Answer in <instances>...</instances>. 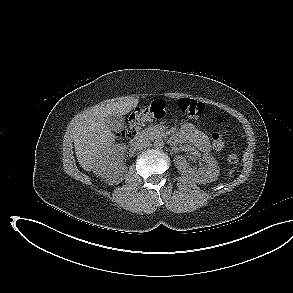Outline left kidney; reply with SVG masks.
Masks as SVG:
<instances>
[{
  "label": "left kidney",
  "mask_w": 293,
  "mask_h": 293,
  "mask_svg": "<svg viewBox=\"0 0 293 293\" xmlns=\"http://www.w3.org/2000/svg\"><path fill=\"white\" fill-rule=\"evenodd\" d=\"M202 161L205 162V165L194 169L189 166L185 157L177 156L174 159L179 172L197 183L206 184L217 180L220 173L217 160L211 155L204 154Z\"/></svg>",
  "instance_id": "1"
}]
</instances>
